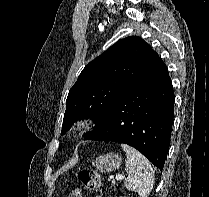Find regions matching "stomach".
<instances>
[{
    "label": "stomach",
    "instance_id": "0dacf381",
    "mask_svg": "<svg viewBox=\"0 0 209 197\" xmlns=\"http://www.w3.org/2000/svg\"><path fill=\"white\" fill-rule=\"evenodd\" d=\"M93 165L100 172H112L117 170L121 165V158L118 154H105L99 156L94 162Z\"/></svg>",
    "mask_w": 209,
    "mask_h": 197
}]
</instances>
